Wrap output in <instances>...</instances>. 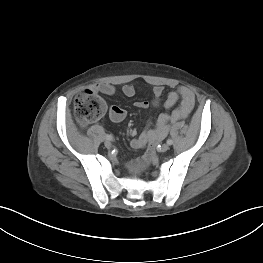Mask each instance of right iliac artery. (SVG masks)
Here are the masks:
<instances>
[{"label":"right iliac artery","instance_id":"82829eb1","mask_svg":"<svg viewBox=\"0 0 263 263\" xmlns=\"http://www.w3.org/2000/svg\"><path fill=\"white\" fill-rule=\"evenodd\" d=\"M105 138L109 141H112L113 140V136L112 135H109V134H106L105 135Z\"/></svg>","mask_w":263,"mask_h":263}]
</instances>
